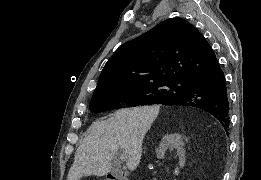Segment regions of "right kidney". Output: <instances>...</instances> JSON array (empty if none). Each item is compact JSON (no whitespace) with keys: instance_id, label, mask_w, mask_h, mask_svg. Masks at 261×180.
I'll return each instance as SVG.
<instances>
[{"instance_id":"ca27d5eb","label":"right kidney","mask_w":261,"mask_h":180,"mask_svg":"<svg viewBox=\"0 0 261 180\" xmlns=\"http://www.w3.org/2000/svg\"><path fill=\"white\" fill-rule=\"evenodd\" d=\"M183 140L180 134H166L162 142H160L159 148L156 150L157 158H164L169 148H176L178 156V164L180 168L185 166V150L183 148Z\"/></svg>"}]
</instances>
